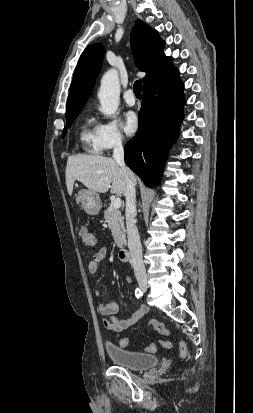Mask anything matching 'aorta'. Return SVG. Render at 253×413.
Here are the masks:
<instances>
[{"label": "aorta", "mask_w": 253, "mask_h": 413, "mask_svg": "<svg viewBox=\"0 0 253 413\" xmlns=\"http://www.w3.org/2000/svg\"><path fill=\"white\" fill-rule=\"evenodd\" d=\"M98 98L103 114L112 115L116 112L120 103V84L115 69H110L103 75Z\"/></svg>", "instance_id": "1"}]
</instances>
